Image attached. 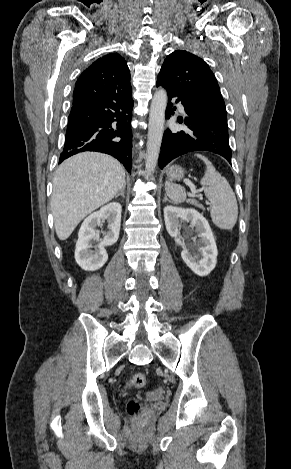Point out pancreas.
<instances>
[{"instance_id": "pancreas-1", "label": "pancreas", "mask_w": 291, "mask_h": 469, "mask_svg": "<svg viewBox=\"0 0 291 469\" xmlns=\"http://www.w3.org/2000/svg\"><path fill=\"white\" fill-rule=\"evenodd\" d=\"M187 202L194 205V206H196V207H198V208H200V209H202V210H204V207L201 204H199V202L197 200L188 199Z\"/></svg>"}]
</instances>
